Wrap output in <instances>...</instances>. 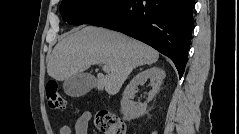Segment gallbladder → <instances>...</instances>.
<instances>
[{"label": "gallbladder", "instance_id": "bac80fb5", "mask_svg": "<svg viewBox=\"0 0 239 134\" xmlns=\"http://www.w3.org/2000/svg\"><path fill=\"white\" fill-rule=\"evenodd\" d=\"M96 86V79L91 74L79 73L64 80V92L71 97H80L87 94Z\"/></svg>", "mask_w": 239, "mask_h": 134}]
</instances>
